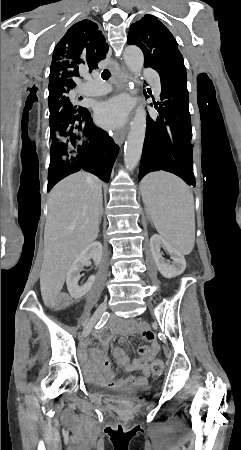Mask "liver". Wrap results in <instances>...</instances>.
<instances>
[{"mask_svg": "<svg viewBox=\"0 0 241 450\" xmlns=\"http://www.w3.org/2000/svg\"><path fill=\"white\" fill-rule=\"evenodd\" d=\"M48 208L40 288L44 304L52 306L73 260L98 236L102 184L87 172L72 174L51 190Z\"/></svg>", "mask_w": 241, "mask_h": 450, "instance_id": "6515ba94", "label": "liver"}]
</instances>
